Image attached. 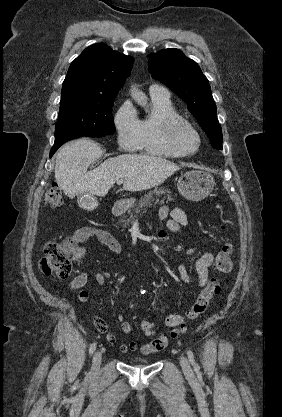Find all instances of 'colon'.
<instances>
[{
  "label": "colon",
  "instance_id": "1",
  "mask_svg": "<svg viewBox=\"0 0 282 417\" xmlns=\"http://www.w3.org/2000/svg\"><path fill=\"white\" fill-rule=\"evenodd\" d=\"M44 199L50 208L57 209L60 207L62 204V197L59 185L54 184L52 187L47 188ZM44 249L45 255L39 263V270L43 274H55L56 276L68 277L72 272V262L80 264L84 258V249L72 245L69 241L50 240L45 243ZM231 254L232 250L230 246L224 245L215 258V269L220 272H229L233 266ZM220 288L221 284L219 279H209L192 308L189 310L187 314L188 319L192 320L204 313L211 299L220 292ZM180 328H183V326L181 325ZM177 336L178 333L176 331H171L165 339H155L151 349L149 347H144L142 349V354L144 356H149L151 351L152 353H163L167 344H172L174 338Z\"/></svg>",
  "mask_w": 282,
  "mask_h": 417
}]
</instances>
